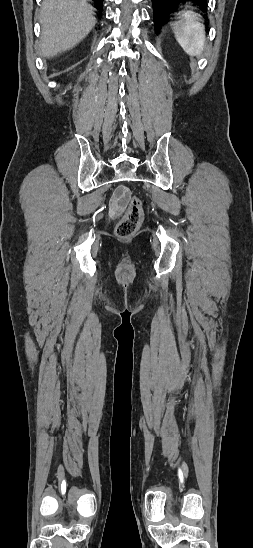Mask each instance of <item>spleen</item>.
I'll list each match as a JSON object with an SVG mask.
<instances>
[{"label": "spleen", "instance_id": "3e777b00", "mask_svg": "<svg viewBox=\"0 0 253 548\" xmlns=\"http://www.w3.org/2000/svg\"><path fill=\"white\" fill-rule=\"evenodd\" d=\"M182 19L172 24L177 42L190 56H200L205 46V27L199 15L193 11H182Z\"/></svg>", "mask_w": 253, "mask_h": 548}]
</instances>
